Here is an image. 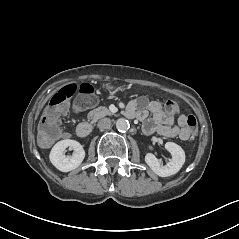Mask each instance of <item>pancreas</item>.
Instances as JSON below:
<instances>
[{"label":"pancreas","instance_id":"pancreas-1","mask_svg":"<svg viewBox=\"0 0 239 239\" xmlns=\"http://www.w3.org/2000/svg\"><path fill=\"white\" fill-rule=\"evenodd\" d=\"M107 115H112V112L106 107L100 106L96 109L90 111L87 115L88 120H91V123L96 122L98 119L103 118Z\"/></svg>","mask_w":239,"mask_h":239}]
</instances>
